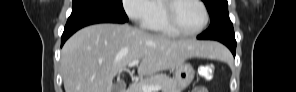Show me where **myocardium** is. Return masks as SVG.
Instances as JSON below:
<instances>
[{"label":"myocardium","instance_id":"myocardium-1","mask_svg":"<svg viewBox=\"0 0 296 92\" xmlns=\"http://www.w3.org/2000/svg\"><path fill=\"white\" fill-rule=\"evenodd\" d=\"M181 1H183V0L165 1V20H166L167 25L174 32H176L177 34L183 35V36H194V35L201 33L206 28V26L208 25V22H209V12H208L206 5L201 0H192L201 6V8L204 12V21H203V24L198 29L193 30V31H186L178 25L176 18H175V8H176L177 4Z\"/></svg>","mask_w":296,"mask_h":92}]
</instances>
